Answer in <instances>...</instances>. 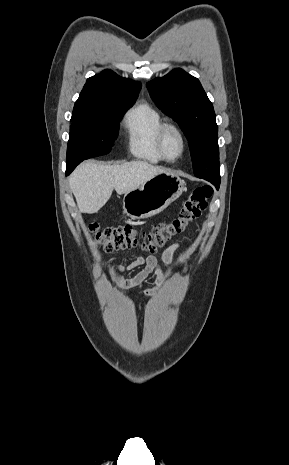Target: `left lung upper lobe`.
Segmentation results:
<instances>
[{"label": "left lung upper lobe", "mask_w": 289, "mask_h": 465, "mask_svg": "<svg viewBox=\"0 0 289 465\" xmlns=\"http://www.w3.org/2000/svg\"><path fill=\"white\" fill-rule=\"evenodd\" d=\"M156 105L184 132L196 177L220 185L218 126L213 105L199 80L182 69L147 83Z\"/></svg>", "instance_id": "obj_1"}]
</instances>
